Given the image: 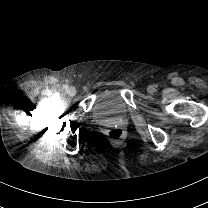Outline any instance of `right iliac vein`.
I'll return each instance as SVG.
<instances>
[{
  "label": "right iliac vein",
  "mask_w": 208,
  "mask_h": 208,
  "mask_svg": "<svg viewBox=\"0 0 208 208\" xmlns=\"http://www.w3.org/2000/svg\"><path fill=\"white\" fill-rule=\"evenodd\" d=\"M68 93L70 96H74L76 94V89L74 87H70L68 89Z\"/></svg>",
  "instance_id": "63e3f726"
}]
</instances>
